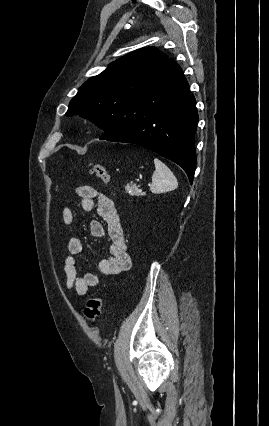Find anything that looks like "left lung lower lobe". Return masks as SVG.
<instances>
[{
	"mask_svg": "<svg viewBox=\"0 0 269 426\" xmlns=\"http://www.w3.org/2000/svg\"><path fill=\"white\" fill-rule=\"evenodd\" d=\"M197 123L196 101L186 78L168 59L150 85L133 95L112 136L100 139L146 147L181 166L192 183Z\"/></svg>",
	"mask_w": 269,
	"mask_h": 426,
	"instance_id": "obj_1",
	"label": "left lung lower lobe"
}]
</instances>
